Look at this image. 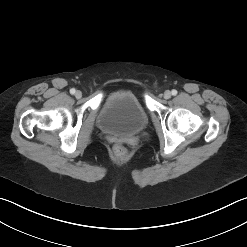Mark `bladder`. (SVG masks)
<instances>
[{"label":"bladder","instance_id":"bladder-1","mask_svg":"<svg viewBox=\"0 0 247 247\" xmlns=\"http://www.w3.org/2000/svg\"><path fill=\"white\" fill-rule=\"evenodd\" d=\"M102 131L117 135H137L148 124V115L139 97L121 89L107 95L98 114Z\"/></svg>","mask_w":247,"mask_h":247}]
</instances>
